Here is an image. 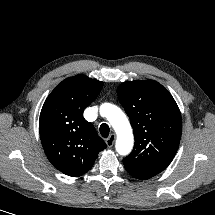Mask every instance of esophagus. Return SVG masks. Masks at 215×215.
Listing matches in <instances>:
<instances>
[{"label":"esophagus","instance_id":"obj_1","mask_svg":"<svg viewBox=\"0 0 215 215\" xmlns=\"http://www.w3.org/2000/svg\"><path fill=\"white\" fill-rule=\"evenodd\" d=\"M116 136L114 134H111L107 139H106V144L110 148L114 145Z\"/></svg>","mask_w":215,"mask_h":215}]
</instances>
